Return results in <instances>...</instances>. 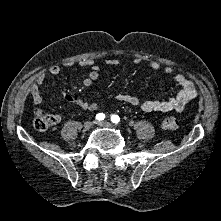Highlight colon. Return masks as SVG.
Wrapping results in <instances>:
<instances>
[{
  "label": "colon",
  "mask_w": 221,
  "mask_h": 221,
  "mask_svg": "<svg viewBox=\"0 0 221 221\" xmlns=\"http://www.w3.org/2000/svg\"><path fill=\"white\" fill-rule=\"evenodd\" d=\"M58 122V118L53 114H39L34 119V128L38 131H44ZM162 126L166 130H174L178 127V121L174 117H166Z\"/></svg>",
  "instance_id": "obj_1"
}]
</instances>
